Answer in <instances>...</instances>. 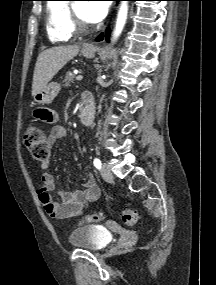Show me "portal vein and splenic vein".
Instances as JSON below:
<instances>
[{"label": "portal vein and splenic vein", "mask_w": 216, "mask_h": 285, "mask_svg": "<svg viewBox=\"0 0 216 285\" xmlns=\"http://www.w3.org/2000/svg\"><path fill=\"white\" fill-rule=\"evenodd\" d=\"M83 79V76L82 75H78L77 77H76V80H78V81H81Z\"/></svg>", "instance_id": "portal-vein-and-splenic-vein-1"}]
</instances>
